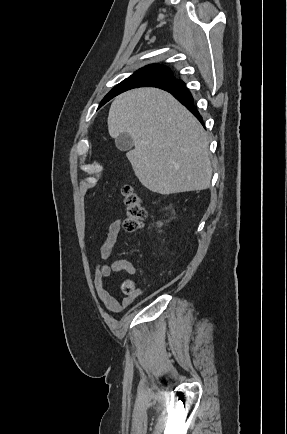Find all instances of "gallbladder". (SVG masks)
<instances>
[{
    "mask_svg": "<svg viewBox=\"0 0 287 434\" xmlns=\"http://www.w3.org/2000/svg\"><path fill=\"white\" fill-rule=\"evenodd\" d=\"M115 145L120 151H129L134 146V142L128 133H121L115 139Z\"/></svg>",
    "mask_w": 287,
    "mask_h": 434,
    "instance_id": "1",
    "label": "gallbladder"
}]
</instances>
